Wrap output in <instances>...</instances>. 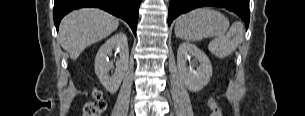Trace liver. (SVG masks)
<instances>
[{
    "instance_id": "obj_1",
    "label": "liver",
    "mask_w": 305,
    "mask_h": 116,
    "mask_svg": "<svg viewBox=\"0 0 305 116\" xmlns=\"http://www.w3.org/2000/svg\"><path fill=\"white\" fill-rule=\"evenodd\" d=\"M119 26L113 15L97 8H82L66 15L59 29V43L75 60L88 46L106 38Z\"/></svg>"
}]
</instances>
